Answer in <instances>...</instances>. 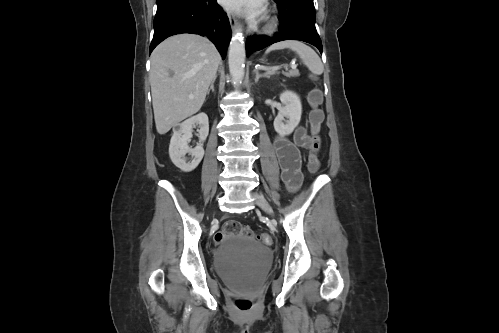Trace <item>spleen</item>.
<instances>
[{
    "mask_svg": "<svg viewBox=\"0 0 499 333\" xmlns=\"http://www.w3.org/2000/svg\"><path fill=\"white\" fill-rule=\"evenodd\" d=\"M280 49H290L294 51L302 63L314 74L321 75L324 71V66L321 62V59L317 55V53L305 45L304 43L296 40H285L278 43H275L267 48L266 54L274 50Z\"/></svg>",
    "mask_w": 499,
    "mask_h": 333,
    "instance_id": "3e777b00",
    "label": "spleen"
}]
</instances>
